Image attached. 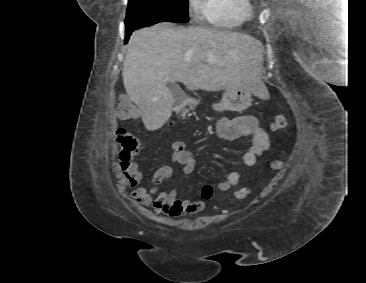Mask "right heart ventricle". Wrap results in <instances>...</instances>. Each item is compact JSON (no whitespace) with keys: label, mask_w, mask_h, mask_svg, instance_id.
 Here are the masks:
<instances>
[{"label":"right heart ventricle","mask_w":366,"mask_h":283,"mask_svg":"<svg viewBox=\"0 0 366 283\" xmlns=\"http://www.w3.org/2000/svg\"><path fill=\"white\" fill-rule=\"evenodd\" d=\"M202 3L203 19L223 29L238 28L253 14L251 0H203Z\"/></svg>","instance_id":"right-heart-ventricle-1"}]
</instances>
